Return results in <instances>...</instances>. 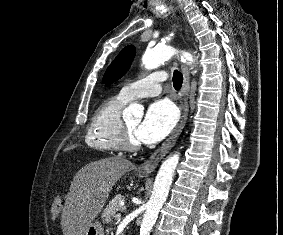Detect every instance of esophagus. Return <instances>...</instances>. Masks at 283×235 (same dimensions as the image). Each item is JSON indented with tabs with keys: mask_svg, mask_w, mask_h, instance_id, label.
Masks as SVG:
<instances>
[{
	"mask_svg": "<svg viewBox=\"0 0 283 235\" xmlns=\"http://www.w3.org/2000/svg\"><path fill=\"white\" fill-rule=\"evenodd\" d=\"M181 68L183 72V85L181 91V94L183 96V102L181 104V113H182L181 120L176 126V128L169 135V137L165 140V142L162 143L152 153V155L138 167V172L143 175H149L156 169L159 162L166 156V154L175 145L180 133L182 132L186 124L188 118V112H189L187 95L190 89V74H189L188 66L186 64H182Z\"/></svg>",
	"mask_w": 283,
	"mask_h": 235,
	"instance_id": "obj_1",
	"label": "esophagus"
}]
</instances>
